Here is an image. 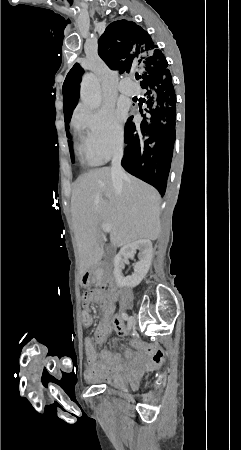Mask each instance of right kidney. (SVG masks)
Returning <instances> with one entry per match:
<instances>
[{
    "instance_id": "right-kidney-1",
    "label": "right kidney",
    "mask_w": 241,
    "mask_h": 450,
    "mask_svg": "<svg viewBox=\"0 0 241 450\" xmlns=\"http://www.w3.org/2000/svg\"><path fill=\"white\" fill-rule=\"evenodd\" d=\"M137 250H139L138 258L139 262L134 264V274L132 276H127L123 278L122 270L124 268L125 260L131 258L133 260ZM152 242L150 240H137V242H132V244H127L121 248L119 254L114 258V278L118 288H135L143 278H145L152 262ZM125 258V260H124Z\"/></svg>"
}]
</instances>
